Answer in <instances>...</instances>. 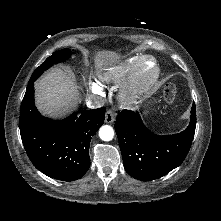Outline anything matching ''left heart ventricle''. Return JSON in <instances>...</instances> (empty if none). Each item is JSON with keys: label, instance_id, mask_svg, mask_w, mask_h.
Instances as JSON below:
<instances>
[{"label": "left heart ventricle", "instance_id": "1", "mask_svg": "<svg viewBox=\"0 0 221 221\" xmlns=\"http://www.w3.org/2000/svg\"><path fill=\"white\" fill-rule=\"evenodd\" d=\"M153 72V65L152 63L148 62L145 64L144 68H143V74L144 76L148 77L152 74Z\"/></svg>", "mask_w": 221, "mask_h": 221}]
</instances>
